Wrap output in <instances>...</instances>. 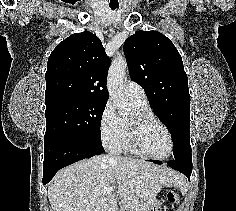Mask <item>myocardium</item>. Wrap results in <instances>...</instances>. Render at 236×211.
Here are the masks:
<instances>
[{
  "label": "myocardium",
  "instance_id": "f54148a6",
  "mask_svg": "<svg viewBox=\"0 0 236 211\" xmlns=\"http://www.w3.org/2000/svg\"><path fill=\"white\" fill-rule=\"evenodd\" d=\"M156 123L160 125L166 132L169 138V150L163 156H156L142 150L139 144V134L142 128L146 127L149 124ZM126 141L128 146L133 150L134 153L141 157L164 160L172 154L174 150V140L172 133L168 126L162 122L160 119L156 118L154 115H151L143 111H135L133 115L126 120Z\"/></svg>",
  "mask_w": 236,
  "mask_h": 211
}]
</instances>
